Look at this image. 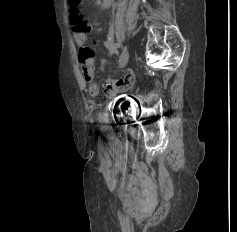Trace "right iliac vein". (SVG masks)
<instances>
[{
	"label": "right iliac vein",
	"mask_w": 237,
	"mask_h": 232,
	"mask_svg": "<svg viewBox=\"0 0 237 232\" xmlns=\"http://www.w3.org/2000/svg\"><path fill=\"white\" fill-rule=\"evenodd\" d=\"M128 60H129V53H128L127 49L124 48V50L120 56V59H119V67L124 68L128 63Z\"/></svg>",
	"instance_id": "1"
}]
</instances>
